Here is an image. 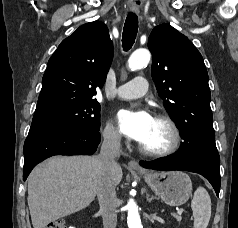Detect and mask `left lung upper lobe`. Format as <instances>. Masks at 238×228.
<instances>
[{"instance_id":"5c2ea615","label":"left lung upper lobe","mask_w":238,"mask_h":228,"mask_svg":"<svg viewBox=\"0 0 238 228\" xmlns=\"http://www.w3.org/2000/svg\"><path fill=\"white\" fill-rule=\"evenodd\" d=\"M148 48L158 94L184 140L177 155L184 160L216 146L208 73L200 52L169 24L152 30Z\"/></svg>"}]
</instances>
